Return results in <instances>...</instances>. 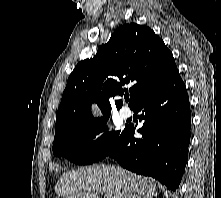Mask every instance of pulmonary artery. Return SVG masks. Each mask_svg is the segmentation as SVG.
Masks as SVG:
<instances>
[{
    "label": "pulmonary artery",
    "instance_id": "pulmonary-artery-1",
    "mask_svg": "<svg viewBox=\"0 0 221 198\" xmlns=\"http://www.w3.org/2000/svg\"><path fill=\"white\" fill-rule=\"evenodd\" d=\"M132 115V111L131 109L128 107V106H123L121 109H120V116L123 118V119H127L129 117H131Z\"/></svg>",
    "mask_w": 221,
    "mask_h": 198
}]
</instances>
